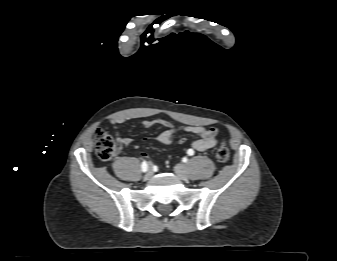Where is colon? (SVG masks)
Wrapping results in <instances>:
<instances>
[{"instance_id":"5ec220e1","label":"colon","mask_w":337,"mask_h":261,"mask_svg":"<svg viewBox=\"0 0 337 261\" xmlns=\"http://www.w3.org/2000/svg\"><path fill=\"white\" fill-rule=\"evenodd\" d=\"M95 151L101 161H109L117 152V146L111 135L103 130H98L95 134ZM229 150L221 144L215 153L218 162L224 163L229 159Z\"/></svg>"}]
</instances>
